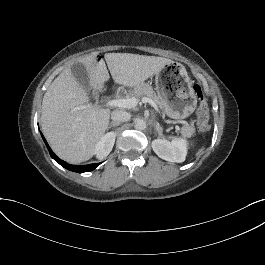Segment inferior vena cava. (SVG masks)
Listing matches in <instances>:
<instances>
[{
    "label": "inferior vena cava",
    "mask_w": 265,
    "mask_h": 265,
    "mask_svg": "<svg viewBox=\"0 0 265 265\" xmlns=\"http://www.w3.org/2000/svg\"><path fill=\"white\" fill-rule=\"evenodd\" d=\"M111 118H112L113 122L120 123V122L129 121L131 118V115L126 111L115 110V111H113Z\"/></svg>",
    "instance_id": "obj_1"
}]
</instances>
